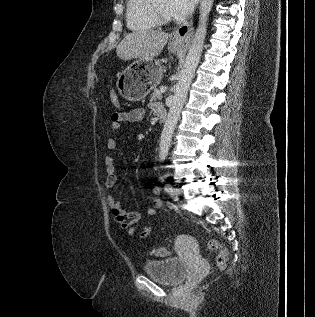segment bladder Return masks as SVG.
Returning a JSON list of instances; mask_svg holds the SVG:
<instances>
[{
  "instance_id": "obj_1",
  "label": "bladder",
  "mask_w": 315,
  "mask_h": 317,
  "mask_svg": "<svg viewBox=\"0 0 315 317\" xmlns=\"http://www.w3.org/2000/svg\"><path fill=\"white\" fill-rule=\"evenodd\" d=\"M143 270L148 276L161 283L177 285L185 279L187 265L182 259L172 257L161 260H148L144 263Z\"/></svg>"
}]
</instances>
